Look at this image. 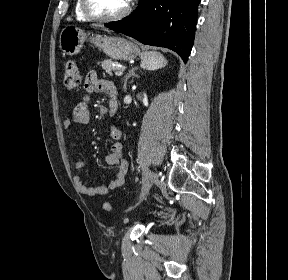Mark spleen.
<instances>
[{
	"label": "spleen",
	"instance_id": "1",
	"mask_svg": "<svg viewBox=\"0 0 288 280\" xmlns=\"http://www.w3.org/2000/svg\"><path fill=\"white\" fill-rule=\"evenodd\" d=\"M167 65L165 57L156 51H146L142 54L141 67L146 70H157Z\"/></svg>",
	"mask_w": 288,
	"mask_h": 280
}]
</instances>
